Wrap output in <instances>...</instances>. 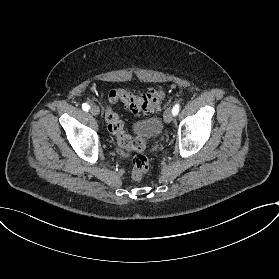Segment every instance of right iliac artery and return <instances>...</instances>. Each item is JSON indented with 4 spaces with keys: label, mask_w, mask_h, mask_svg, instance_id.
I'll use <instances>...</instances> for the list:
<instances>
[{
    "label": "right iliac artery",
    "mask_w": 279,
    "mask_h": 279,
    "mask_svg": "<svg viewBox=\"0 0 279 279\" xmlns=\"http://www.w3.org/2000/svg\"><path fill=\"white\" fill-rule=\"evenodd\" d=\"M82 109L84 110V111H89V109H90V106L87 104V103H84V104H82Z\"/></svg>",
    "instance_id": "right-iliac-artery-1"
}]
</instances>
